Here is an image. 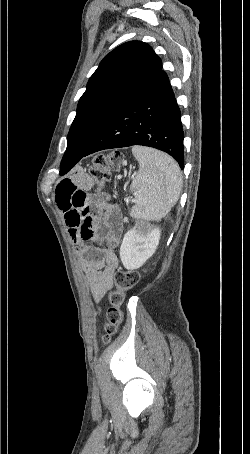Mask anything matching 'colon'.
<instances>
[{
  "mask_svg": "<svg viewBox=\"0 0 250 454\" xmlns=\"http://www.w3.org/2000/svg\"><path fill=\"white\" fill-rule=\"evenodd\" d=\"M122 162V153L112 151L106 154H98L94 157L88 172L99 188H102L110 179L112 172L119 169ZM140 275L135 270L120 269L114 276L115 289L109 293L110 307L107 310V321L103 327V341H109L119 331L124 314L121 309L126 294L139 282Z\"/></svg>",
  "mask_w": 250,
  "mask_h": 454,
  "instance_id": "5ec220e1",
  "label": "colon"
}]
</instances>
